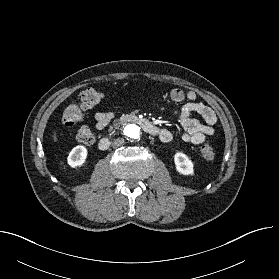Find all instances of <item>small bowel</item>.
Segmentation results:
<instances>
[{"mask_svg":"<svg viewBox=\"0 0 279 279\" xmlns=\"http://www.w3.org/2000/svg\"><path fill=\"white\" fill-rule=\"evenodd\" d=\"M170 99L175 103L187 101L178 113L179 122L183 128L181 139L184 142L191 144H201L207 136L213 135L217 121L215 112L207 105L196 102L197 95L194 91H183L179 88H174L170 91ZM192 114L200 115L205 123H201L197 119L191 117ZM96 127L98 129L105 128L114 118V113L111 111L95 113ZM157 136L162 142H170L173 139V134L166 128H157Z\"/></svg>","mask_w":279,"mask_h":279,"instance_id":"c3829d8e","label":"small bowel"}]
</instances>
